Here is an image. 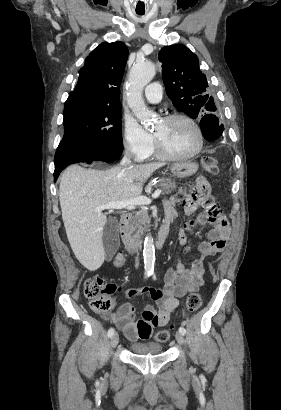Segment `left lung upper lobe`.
Wrapping results in <instances>:
<instances>
[{"mask_svg": "<svg viewBox=\"0 0 281 410\" xmlns=\"http://www.w3.org/2000/svg\"><path fill=\"white\" fill-rule=\"evenodd\" d=\"M159 61L168 97L178 110L192 118L216 111L213 98L207 94L206 76L194 53L181 44L166 46L159 52Z\"/></svg>", "mask_w": 281, "mask_h": 410, "instance_id": "obj_1", "label": "left lung upper lobe"}]
</instances>
